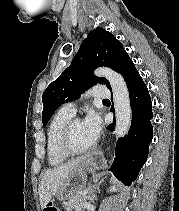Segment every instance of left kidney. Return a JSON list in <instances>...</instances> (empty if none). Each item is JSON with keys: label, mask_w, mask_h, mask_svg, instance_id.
<instances>
[{"label": "left kidney", "mask_w": 179, "mask_h": 211, "mask_svg": "<svg viewBox=\"0 0 179 211\" xmlns=\"http://www.w3.org/2000/svg\"><path fill=\"white\" fill-rule=\"evenodd\" d=\"M114 190H115L114 188H111V189H110V192H112V191H114Z\"/></svg>", "instance_id": "left-kidney-1"}]
</instances>
